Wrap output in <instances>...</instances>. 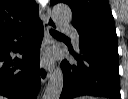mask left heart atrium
I'll return each instance as SVG.
<instances>
[{
  "label": "left heart atrium",
  "instance_id": "39dd6f15",
  "mask_svg": "<svg viewBox=\"0 0 128 99\" xmlns=\"http://www.w3.org/2000/svg\"><path fill=\"white\" fill-rule=\"evenodd\" d=\"M52 60V56L49 54V55H47L45 58H44V61L46 62V63H50V61Z\"/></svg>",
  "mask_w": 128,
  "mask_h": 99
}]
</instances>
